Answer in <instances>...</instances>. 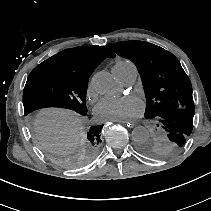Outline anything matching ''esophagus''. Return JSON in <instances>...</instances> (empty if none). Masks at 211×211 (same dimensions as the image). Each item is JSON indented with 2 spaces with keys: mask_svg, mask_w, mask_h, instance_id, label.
I'll list each match as a JSON object with an SVG mask.
<instances>
[{
  "mask_svg": "<svg viewBox=\"0 0 211 211\" xmlns=\"http://www.w3.org/2000/svg\"><path fill=\"white\" fill-rule=\"evenodd\" d=\"M111 122H116V123H121L122 125H124V126H126L127 125V127H132V122H128V120H126V119H124V120H112Z\"/></svg>",
  "mask_w": 211,
  "mask_h": 211,
  "instance_id": "esophagus-1",
  "label": "esophagus"
}]
</instances>
